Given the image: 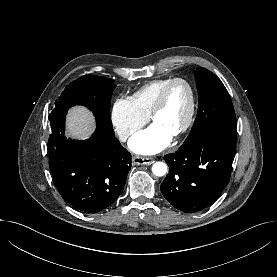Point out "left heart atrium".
<instances>
[{"mask_svg":"<svg viewBox=\"0 0 277 277\" xmlns=\"http://www.w3.org/2000/svg\"><path fill=\"white\" fill-rule=\"evenodd\" d=\"M172 134L157 123L137 133L129 141L130 149L138 154L151 155L165 149L171 142Z\"/></svg>","mask_w":277,"mask_h":277,"instance_id":"obj_1","label":"left heart atrium"}]
</instances>
